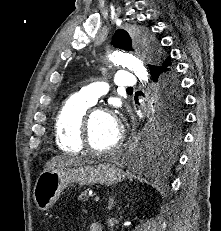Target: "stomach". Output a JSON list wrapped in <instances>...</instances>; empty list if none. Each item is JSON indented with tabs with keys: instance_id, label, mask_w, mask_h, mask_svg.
<instances>
[{
	"instance_id": "stomach-1",
	"label": "stomach",
	"mask_w": 221,
	"mask_h": 231,
	"mask_svg": "<svg viewBox=\"0 0 221 231\" xmlns=\"http://www.w3.org/2000/svg\"><path fill=\"white\" fill-rule=\"evenodd\" d=\"M125 173L112 162L81 164L72 167L55 168L44 171L38 177L33 191L37 208L49 209L59 198L62 191L71 183L89 185H115L123 181Z\"/></svg>"
}]
</instances>
